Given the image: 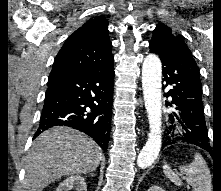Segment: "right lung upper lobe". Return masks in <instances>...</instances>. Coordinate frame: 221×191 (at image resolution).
I'll use <instances>...</instances> for the list:
<instances>
[{
	"label": "right lung upper lobe",
	"mask_w": 221,
	"mask_h": 191,
	"mask_svg": "<svg viewBox=\"0 0 221 191\" xmlns=\"http://www.w3.org/2000/svg\"><path fill=\"white\" fill-rule=\"evenodd\" d=\"M107 25L105 18L95 17L77 29L57 54L49 78L112 64Z\"/></svg>",
	"instance_id": "cb5924a9"
}]
</instances>
